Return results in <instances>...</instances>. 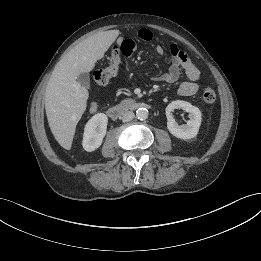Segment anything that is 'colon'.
I'll use <instances>...</instances> for the list:
<instances>
[{
	"label": "colon",
	"instance_id": "5ec220e1",
	"mask_svg": "<svg viewBox=\"0 0 261 261\" xmlns=\"http://www.w3.org/2000/svg\"><path fill=\"white\" fill-rule=\"evenodd\" d=\"M120 49H114L108 59V65L94 72V79L99 85H106L118 73L120 66ZM203 100L212 104L216 101V93L212 88L204 89L202 93Z\"/></svg>",
	"mask_w": 261,
	"mask_h": 261
}]
</instances>
